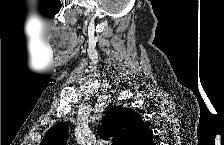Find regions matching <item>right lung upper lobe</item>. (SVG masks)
Listing matches in <instances>:
<instances>
[{"instance_id": "obj_1", "label": "right lung upper lobe", "mask_w": 224, "mask_h": 145, "mask_svg": "<svg viewBox=\"0 0 224 145\" xmlns=\"http://www.w3.org/2000/svg\"><path fill=\"white\" fill-rule=\"evenodd\" d=\"M98 133L114 145H148L153 138L144 121L133 110L112 105L106 108ZM66 141V128L63 123H58L46 133L41 145H63Z\"/></svg>"}]
</instances>
